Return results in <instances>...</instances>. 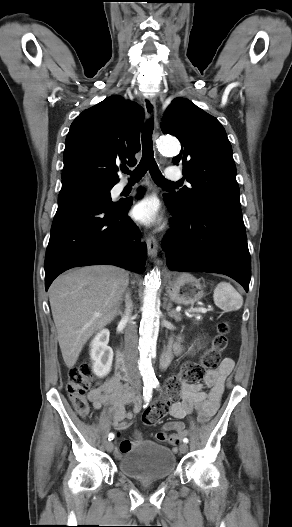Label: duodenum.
<instances>
[{
    "label": "duodenum",
    "instance_id": "duodenum-1",
    "mask_svg": "<svg viewBox=\"0 0 292 527\" xmlns=\"http://www.w3.org/2000/svg\"><path fill=\"white\" fill-rule=\"evenodd\" d=\"M116 375L120 377L124 382L129 383L131 381L127 366L124 360V356L121 352H117L116 355Z\"/></svg>",
    "mask_w": 292,
    "mask_h": 527
}]
</instances>
